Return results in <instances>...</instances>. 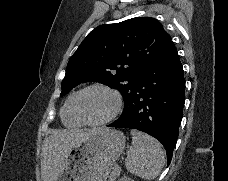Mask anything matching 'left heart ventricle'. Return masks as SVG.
<instances>
[{
    "instance_id": "obj_1",
    "label": "left heart ventricle",
    "mask_w": 228,
    "mask_h": 181,
    "mask_svg": "<svg viewBox=\"0 0 228 181\" xmlns=\"http://www.w3.org/2000/svg\"><path fill=\"white\" fill-rule=\"evenodd\" d=\"M112 103V97L108 93L101 90H90L81 97L79 106L81 113L89 114V119L95 121L107 113Z\"/></svg>"
}]
</instances>
